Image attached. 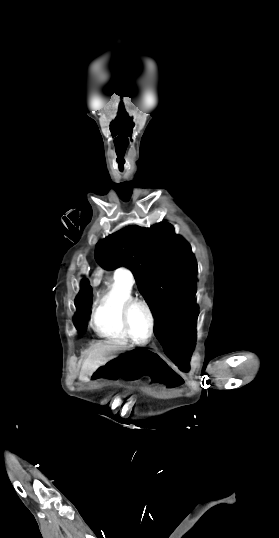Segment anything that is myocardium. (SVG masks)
<instances>
[{"mask_svg":"<svg viewBox=\"0 0 279 538\" xmlns=\"http://www.w3.org/2000/svg\"><path fill=\"white\" fill-rule=\"evenodd\" d=\"M98 208H101V207H98ZM134 307L143 308L145 310V312L147 313V316H148V319H149L150 331H149V335H148L147 339L144 340V341L137 340L133 336V334L131 332L130 323H129V316H130L131 310ZM121 323H122V327H123L126 335L128 336V338L132 342L137 344V345H145V344L149 343L151 341V339L153 338V336H154L155 327H156L155 316H154V313H153L150 305L146 301H143V300H140V299H137V298H132V299L128 300L123 305V307L121 309Z\"/></svg>","mask_w":279,"mask_h":538,"instance_id":"1","label":"myocardium"}]
</instances>
